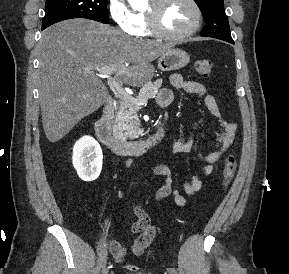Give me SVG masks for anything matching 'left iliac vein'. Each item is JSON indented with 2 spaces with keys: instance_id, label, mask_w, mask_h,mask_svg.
Masks as SVG:
<instances>
[{
  "instance_id": "left-iliac-vein-1",
  "label": "left iliac vein",
  "mask_w": 289,
  "mask_h": 274,
  "mask_svg": "<svg viewBox=\"0 0 289 274\" xmlns=\"http://www.w3.org/2000/svg\"><path fill=\"white\" fill-rule=\"evenodd\" d=\"M168 273H169V274H178L177 271H176L174 268H170V269L168 270Z\"/></svg>"
}]
</instances>
